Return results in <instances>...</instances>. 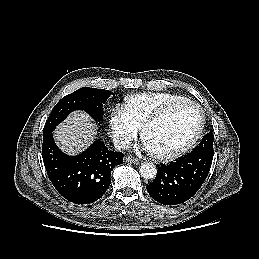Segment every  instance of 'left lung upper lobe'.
<instances>
[{
    "label": "left lung upper lobe",
    "instance_id": "1",
    "mask_svg": "<svg viewBox=\"0 0 259 259\" xmlns=\"http://www.w3.org/2000/svg\"><path fill=\"white\" fill-rule=\"evenodd\" d=\"M213 140L214 136L211 132L209 134H206L201 142L193 149V151L213 154Z\"/></svg>",
    "mask_w": 259,
    "mask_h": 259
}]
</instances>
